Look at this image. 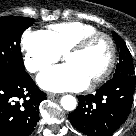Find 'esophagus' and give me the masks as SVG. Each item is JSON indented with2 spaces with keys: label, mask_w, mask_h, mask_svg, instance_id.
<instances>
[{
  "label": "esophagus",
  "mask_w": 136,
  "mask_h": 136,
  "mask_svg": "<svg viewBox=\"0 0 136 136\" xmlns=\"http://www.w3.org/2000/svg\"><path fill=\"white\" fill-rule=\"evenodd\" d=\"M59 94H56V93H51V92H48L47 93V98H55V97H58Z\"/></svg>",
  "instance_id": "34e87169"
}]
</instances>
